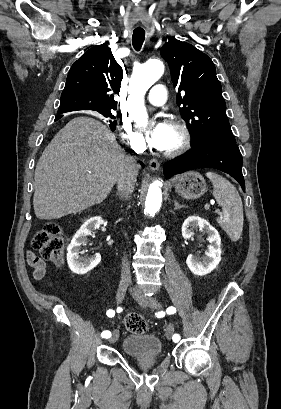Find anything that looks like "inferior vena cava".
I'll return each instance as SVG.
<instances>
[{
    "mask_svg": "<svg viewBox=\"0 0 281 409\" xmlns=\"http://www.w3.org/2000/svg\"><path fill=\"white\" fill-rule=\"evenodd\" d=\"M121 172L117 180V188L120 196H128L131 194L135 188L136 176L138 174V164H136L135 158H126L125 162L120 164ZM122 281H131L130 269L123 259L122 271H121Z\"/></svg>",
    "mask_w": 281,
    "mask_h": 409,
    "instance_id": "obj_1",
    "label": "inferior vena cava"
}]
</instances>
